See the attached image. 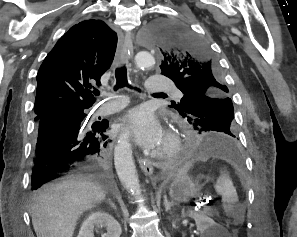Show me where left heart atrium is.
Instances as JSON below:
<instances>
[{
	"mask_svg": "<svg viewBox=\"0 0 297 237\" xmlns=\"http://www.w3.org/2000/svg\"><path fill=\"white\" fill-rule=\"evenodd\" d=\"M120 126L127 128L135 142L145 148L158 147L163 138V130L158 118L143 107L128 112Z\"/></svg>",
	"mask_w": 297,
	"mask_h": 237,
	"instance_id": "left-heart-atrium-1",
	"label": "left heart atrium"
}]
</instances>
